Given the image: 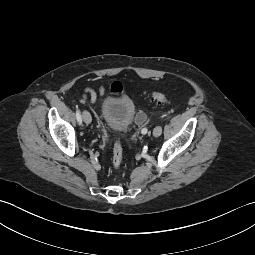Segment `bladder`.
<instances>
[{"mask_svg":"<svg viewBox=\"0 0 255 255\" xmlns=\"http://www.w3.org/2000/svg\"><path fill=\"white\" fill-rule=\"evenodd\" d=\"M135 116L134 101L127 95L107 96L101 104V117L111 131H126L134 122Z\"/></svg>","mask_w":255,"mask_h":255,"instance_id":"1","label":"bladder"}]
</instances>
